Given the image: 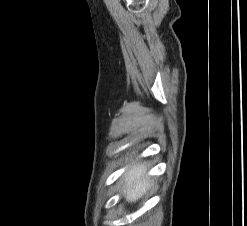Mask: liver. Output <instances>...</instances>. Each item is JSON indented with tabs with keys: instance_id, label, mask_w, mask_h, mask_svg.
Listing matches in <instances>:
<instances>
[{
	"instance_id": "liver-1",
	"label": "liver",
	"mask_w": 247,
	"mask_h": 226,
	"mask_svg": "<svg viewBox=\"0 0 247 226\" xmlns=\"http://www.w3.org/2000/svg\"><path fill=\"white\" fill-rule=\"evenodd\" d=\"M146 171L145 163H138L124 174L123 189L126 190L125 197L128 202L137 201L150 188L151 180L142 178Z\"/></svg>"
}]
</instances>
